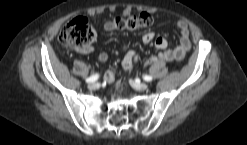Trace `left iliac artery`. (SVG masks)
I'll list each match as a JSON object with an SVG mask.
<instances>
[{
	"mask_svg": "<svg viewBox=\"0 0 247 145\" xmlns=\"http://www.w3.org/2000/svg\"><path fill=\"white\" fill-rule=\"evenodd\" d=\"M143 79H144L145 81H147V82L152 81V77H151V76H149V75H145V76H143Z\"/></svg>",
	"mask_w": 247,
	"mask_h": 145,
	"instance_id": "left-iliac-artery-1",
	"label": "left iliac artery"
}]
</instances>
